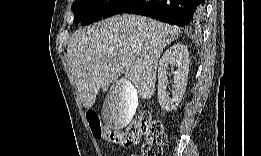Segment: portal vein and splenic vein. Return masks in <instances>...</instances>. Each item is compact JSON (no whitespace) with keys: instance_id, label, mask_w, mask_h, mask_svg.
Here are the masks:
<instances>
[{"instance_id":"18ae733b","label":"portal vein and splenic vein","mask_w":261,"mask_h":156,"mask_svg":"<svg viewBox=\"0 0 261 156\" xmlns=\"http://www.w3.org/2000/svg\"><path fill=\"white\" fill-rule=\"evenodd\" d=\"M121 65L125 68H129L131 65L127 62H122Z\"/></svg>"}]
</instances>
